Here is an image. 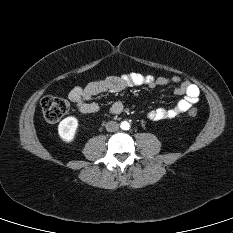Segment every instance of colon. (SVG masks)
I'll return each mask as SVG.
<instances>
[{
  "label": "colon",
  "mask_w": 233,
  "mask_h": 233,
  "mask_svg": "<svg viewBox=\"0 0 233 233\" xmlns=\"http://www.w3.org/2000/svg\"><path fill=\"white\" fill-rule=\"evenodd\" d=\"M41 108L46 121L56 123L67 113L68 103L63 98L47 95L41 100ZM197 114L196 108H191L188 111L189 117H195Z\"/></svg>",
  "instance_id": "1"
}]
</instances>
